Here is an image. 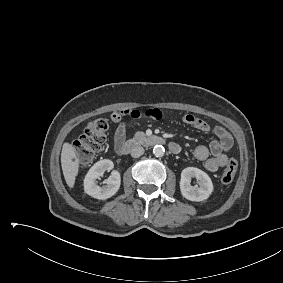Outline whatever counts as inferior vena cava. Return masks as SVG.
<instances>
[{
  "label": "inferior vena cava",
  "instance_id": "602c4592",
  "mask_svg": "<svg viewBox=\"0 0 283 283\" xmlns=\"http://www.w3.org/2000/svg\"><path fill=\"white\" fill-rule=\"evenodd\" d=\"M144 154V148L141 146H135L131 150V156L134 158L140 157Z\"/></svg>",
  "mask_w": 283,
  "mask_h": 283
}]
</instances>
